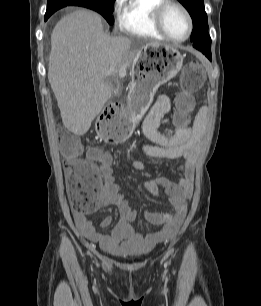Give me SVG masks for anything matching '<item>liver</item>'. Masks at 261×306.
Instances as JSON below:
<instances>
[{
	"label": "liver",
	"instance_id": "1",
	"mask_svg": "<svg viewBox=\"0 0 261 306\" xmlns=\"http://www.w3.org/2000/svg\"><path fill=\"white\" fill-rule=\"evenodd\" d=\"M157 45L104 33L101 17L86 9L58 21L51 35L48 80L64 126L85 134L111 97L105 79L130 66L144 48Z\"/></svg>",
	"mask_w": 261,
	"mask_h": 306
}]
</instances>
